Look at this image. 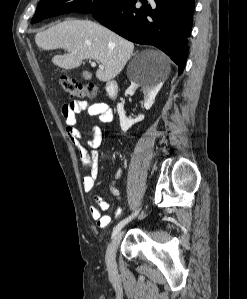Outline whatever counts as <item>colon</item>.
I'll return each mask as SVG.
<instances>
[{
    "mask_svg": "<svg viewBox=\"0 0 247 299\" xmlns=\"http://www.w3.org/2000/svg\"><path fill=\"white\" fill-rule=\"evenodd\" d=\"M63 89L70 95L81 98H93L97 94V87L93 84L83 85L70 76L61 77Z\"/></svg>",
    "mask_w": 247,
    "mask_h": 299,
    "instance_id": "5ec220e1",
    "label": "colon"
}]
</instances>
